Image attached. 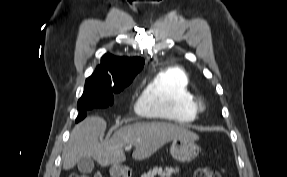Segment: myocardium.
Masks as SVG:
<instances>
[{"instance_id":"myocardium-1","label":"myocardium","mask_w":287,"mask_h":177,"mask_svg":"<svg viewBox=\"0 0 287 177\" xmlns=\"http://www.w3.org/2000/svg\"><path fill=\"white\" fill-rule=\"evenodd\" d=\"M196 108H197L198 110H204V109L206 108V105H205V102H204L203 99H198V100L196 101Z\"/></svg>"}]
</instances>
